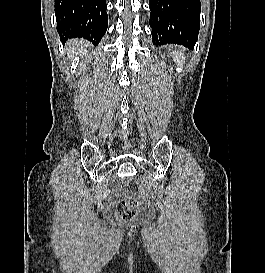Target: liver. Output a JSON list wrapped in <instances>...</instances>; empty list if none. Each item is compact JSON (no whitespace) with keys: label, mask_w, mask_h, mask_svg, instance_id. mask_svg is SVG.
Instances as JSON below:
<instances>
[{"label":"liver","mask_w":265,"mask_h":273,"mask_svg":"<svg viewBox=\"0 0 265 273\" xmlns=\"http://www.w3.org/2000/svg\"><path fill=\"white\" fill-rule=\"evenodd\" d=\"M67 54L70 58H74L76 55L85 56L90 47L89 42L83 39H76L67 43Z\"/></svg>","instance_id":"obj_1"}]
</instances>
